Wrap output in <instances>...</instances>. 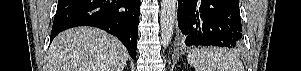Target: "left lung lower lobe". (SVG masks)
I'll return each instance as SVG.
<instances>
[{"label":"left lung lower lobe","mask_w":301,"mask_h":71,"mask_svg":"<svg viewBox=\"0 0 301 71\" xmlns=\"http://www.w3.org/2000/svg\"><path fill=\"white\" fill-rule=\"evenodd\" d=\"M178 27L187 46L238 47L239 0H178Z\"/></svg>","instance_id":"obj_1"}]
</instances>
